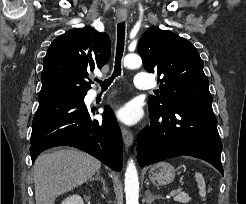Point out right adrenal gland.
<instances>
[{"instance_id":"2a0ac1e0","label":"right adrenal gland","mask_w":246,"mask_h":204,"mask_svg":"<svg viewBox=\"0 0 246 204\" xmlns=\"http://www.w3.org/2000/svg\"><path fill=\"white\" fill-rule=\"evenodd\" d=\"M94 180L101 181V183L103 185L104 194H107L108 193V188L105 185V180L103 179V177L100 176V171H97L96 176L91 178V181H94ZM101 196L104 197V195H101Z\"/></svg>"}]
</instances>
